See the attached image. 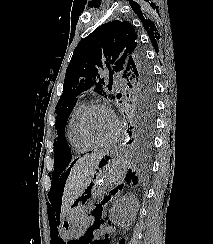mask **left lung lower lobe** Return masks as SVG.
<instances>
[{"mask_svg": "<svg viewBox=\"0 0 213 244\" xmlns=\"http://www.w3.org/2000/svg\"><path fill=\"white\" fill-rule=\"evenodd\" d=\"M127 114L129 128L127 130L126 146L132 154L138 157H146L153 149L155 116L131 110H128Z\"/></svg>", "mask_w": 213, "mask_h": 244, "instance_id": "obj_1", "label": "left lung lower lobe"}]
</instances>
